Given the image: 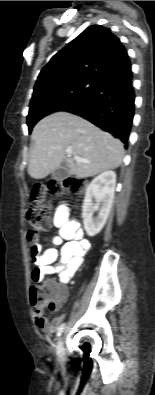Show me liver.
Returning a JSON list of instances; mask_svg holds the SVG:
<instances>
[{
	"instance_id": "6515ba94",
	"label": "liver",
	"mask_w": 155,
	"mask_h": 395,
	"mask_svg": "<svg viewBox=\"0 0 155 395\" xmlns=\"http://www.w3.org/2000/svg\"><path fill=\"white\" fill-rule=\"evenodd\" d=\"M28 174L42 179L60 167L65 160L71 175L78 178L95 176L118 168L124 147L120 140L102 131L91 122L70 114L56 112L40 120L33 129ZM67 150L72 154L68 155ZM78 156L86 162H76Z\"/></svg>"
}]
</instances>
